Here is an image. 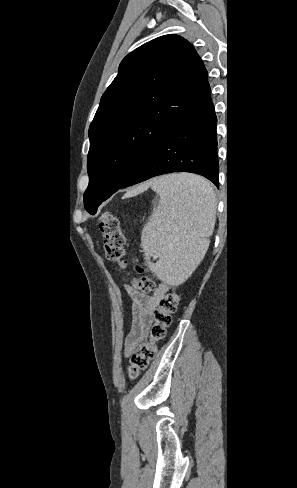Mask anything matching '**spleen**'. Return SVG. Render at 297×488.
<instances>
[{"mask_svg": "<svg viewBox=\"0 0 297 488\" xmlns=\"http://www.w3.org/2000/svg\"><path fill=\"white\" fill-rule=\"evenodd\" d=\"M160 196L158 206L142 230L141 246L157 277L167 282H181L194 268L198 250L213 232L216 199L205 179L191 174H171L152 181Z\"/></svg>", "mask_w": 297, "mask_h": 488, "instance_id": "1", "label": "spleen"}]
</instances>
